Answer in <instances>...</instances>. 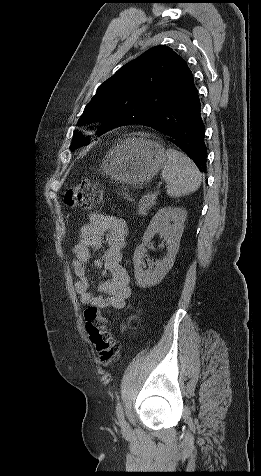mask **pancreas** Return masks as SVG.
<instances>
[{
	"mask_svg": "<svg viewBox=\"0 0 261 476\" xmlns=\"http://www.w3.org/2000/svg\"><path fill=\"white\" fill-rule=\"evenodd\" d=\"M152 194H148L143 196L137 208V214L145 216L147 215L148 211L156 204L155 199L151 197Z\"/></svg>",
	"mask_w": 261,
	"mask_h": 476,
	"instance_id": "cf45deb5",
	"label": "pancreas"
}]
</instances>
